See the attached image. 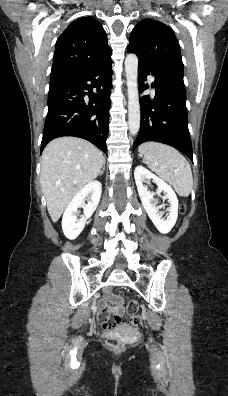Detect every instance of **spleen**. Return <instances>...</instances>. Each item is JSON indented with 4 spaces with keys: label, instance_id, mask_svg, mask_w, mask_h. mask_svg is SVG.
I'll return each mask as SVG.
<instances>
[{
    "label": "spleen",
    "instance_id": "3e777b00",
    "mask_svg": "<svg viewBox=\"0 0 228 396\" xmlns=\"http://www.w3.org/2000/svg\"><path fill=\"white\" fill-rule=\"evenodd\" d=\"M139 153L149 168L169 182L178 195L187 197L193 187L189 162L176 149L157 142L139 146Z\"/></svg>",
    "mask_w": 228,
    "mask_h": 396
}]
</instances>
